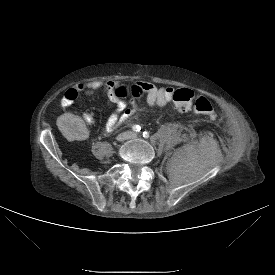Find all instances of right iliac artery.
<instances>
[{
	"instance_id": "right-iliac-artery-1",
	"label": "right iliac artery",
	"mask_w": 275,
	"mask_h": 275,
	"mask_svg": "<svg viewBox=\"0 0 275 275\" xmlns=\"http://www.w3.org/2000/svg\"><path fill=\"white\" fill-rule=\"evenodd\" d=\"M132 130L135 132H139L141 130V127L139 125L132 126Z\"/></svg>"
}]
</instances>
